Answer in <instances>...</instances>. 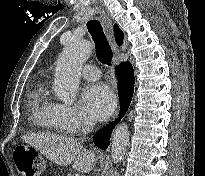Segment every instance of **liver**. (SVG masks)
Masks as SVG:
<instances>
[{
    "label": "liver",
    "mask_w": 205,
    "mask_h": 176,
    "mask_svg": "<svg viewBox=\"0 0 205 176\" xmlns=\"http://www.w3.org/2000/svg\"><path fill=\"white\" fill-rule=\"evenodd\" d=\"M21 140L39 150L50 161L87 173L96 163V155L83 148L81 142L69 136L51 133H32L22 136Z\"/></svg>",
    "instance_id": "liver-1"
}]
</instances>
